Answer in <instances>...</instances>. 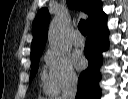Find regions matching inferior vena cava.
<instances>
[{"label": "inferior vena cava", "mask_w": 128, "mask_h": 99, "mask_svg": "<svg viewBox=\"0 0 128 99\" xmlns=\"http://www.w3.org/2000/svg\"><path fill=\"white\" fill-rule=\"evenodd\" d=\"M77 92V78L71 77L62 92L61 99H75Z\"/></svg>", "instance_id": "602c4592"}]
</instances>
